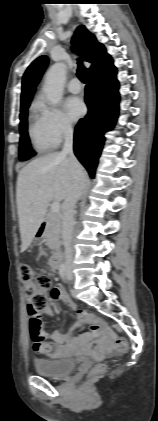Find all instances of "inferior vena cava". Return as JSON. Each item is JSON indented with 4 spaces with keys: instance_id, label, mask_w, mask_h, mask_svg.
<instances>
[{
    "instance_id": "obj_1",
    "label": "inferior vena cava",
    "mask_w": 158,
    "mask_h": 421,
    "mask_svg": "<svg viewBox=\"0 0 158 421\" xmlns=\"http://www.w3.org/2000/svg\"><path fill=\"white\" fill-rule=\"evenodd\" d=\"M64 145L61 152L62 156H68L70 159L71 184L67 190L62 217V238L64 244L65 263H72L73 253L71 248V237L74 227V211L76 203L79 200L85 188L86 173L81 164L76 159L73 152V129L70 125H66L64 129Z\"/></svg>"
}]
</instances>
